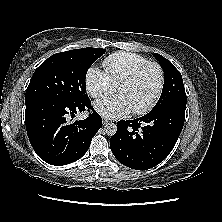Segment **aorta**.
I'll list each match as a JSON object with an SVG mask.
<instances>
[{"instance_id": "762f6f07", "label": "aorta", "mask_w": 222, "mask_h": 222, "mask_svg": "<svg viewBox=\"0 0 222 222\" xmlns=\"http://www.w3.org/2000/svg\"><path fill=\"white\" fill-rule=\"evenodd\" d=\"M104 131L107 135L112 136L117 131V126L114 123H107L104 126Z\"/></svg>"}]
</instances>
